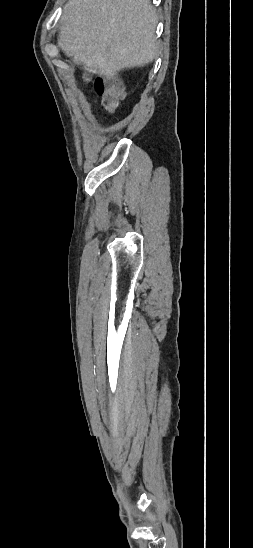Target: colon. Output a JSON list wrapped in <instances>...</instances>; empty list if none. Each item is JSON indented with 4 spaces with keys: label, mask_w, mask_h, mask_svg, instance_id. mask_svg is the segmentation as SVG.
<instances>
[{
    "label": "colon",
    "mask_w": 253,
    "mask_h": 548,
    "mask_svg": "<svg viewBox=\"0 0 253 548\" xmlns=\"http://www.w3.org/2000/svg\"><path fill=\"white\" fill-rule=\"evenodd\" d=\"M94 87L101 96L103 107L113 111L123 96L122 82L117 78L98 77L94 81Z\"/></svg>",
    "instance_id": "colon-1"
}]
</instances>
